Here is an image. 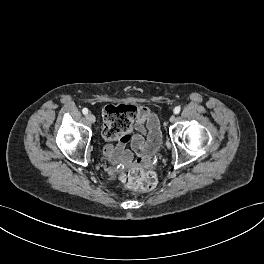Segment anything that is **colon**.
<instances>
[{
	"instance_id": "obj_1",
	"label": "colon",
	"mask_w": 264,
	"mask_h": 264,
	"mask_svg": "<svg viewBox=\"0 0 264 264\" xmlns=\"http://www.w3.org/2000/svg\"><path fill=\"white\" fill-rule=\"evenodd\" d=\"M136 115V107L129 104L108 105L104 111L106 124L103 127V136L110 140L132 131ZM119 181L122 186L132 192H145L154 189L157 185V176L154 172L140 166H129L121 170Z\"/></svg>"
}]
</instances>
